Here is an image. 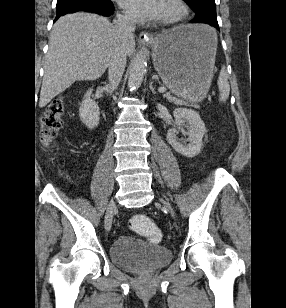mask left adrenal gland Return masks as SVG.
<instances>
[{"label": "left adrenal gland", "instance_id": "obj_1", "mask_svg": "<svg viewBox=\"0 0 286 308\" xmlns=\"http://www.w3.org/2000/svg\"><path fill=\"white\" fill-rule=\"evenodd\" d=\"M152 84H153V82L150 81L149 88H150V90L152 91L153 94H156L155 88L153 87Z\"/></svg>", "mask_w": 286, "mask_h": 308}]
</instances>
